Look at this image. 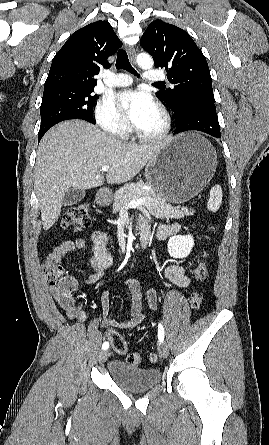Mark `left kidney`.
<instances>
[{"mask_svg": "<svg viewBox=\"0 0 269 445\" xmlns=\"http://www.w3.org/2000/svg\"><path fill=\"white\" fill-rule=\"evenodd\" d=\"M194 245V240L191 235H177L172 236L167 244L168 253L173 258L187 257Z\"/></svg>", "mask_w": 269, "mask_h": 445, "instance_id": "left-kidney-1", "label": "left kidney"}]
</instances>
